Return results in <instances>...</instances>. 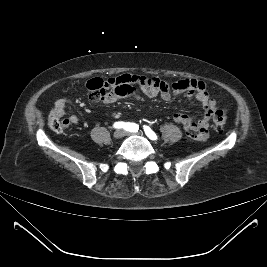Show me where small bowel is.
I'll return each mask as SVG.
<instances>
[{"mask_svg":"<svg viewBox=\"0 0 267 267\" xmlns=\"http://www.w3.org/2000/svg\"><path fill=\"white\" fill-rule=\"evenodd\" d=\"M140 76L136 75H121L116 78H92L86 82V88L90 91V99L94 102H102L111 104L119 101L126 96L140 98L138 89L130 92L125 89L127 81L137 79ZM176 86H167L156 92L141 91L147 96H155L159 94L163 100L169 101L176 95L184 94L187 98H195L204 110V115L198 120L185 114H175L174 121L182 125L189 138L196 141H205L208 138V126L211 115L216 108V102L210 97L206 90L204 82L195 79H185L174 83ZM68 99L60 98L56 101L53 114L61 118L65 115ZM64 127L76 125L79 123V118L76 115H71L62 120Z\"/></svg>","mask_w":267,"mask_h":267,"instance_id":"1","label":"small bowel"}]
</instances>
